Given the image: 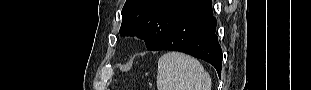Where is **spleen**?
I'll use <instances>...</instances> for the list:
<instances>
[{
  "instance_id": "obj_1",
  "label": "spleen",
  "mask_w": 311,
  "mask_h": 90,
  "mask_svg": "<svg viewBox=\"0 0 311 90\" xmlns=\"http://www.w3.org/2000/svg\"><path fill=\"white\" fill-rule=\"evenodd\" d=\"M157 90H211V79L197 59L168 52L158 60Z\"/></svg>"
}]
</instances>
